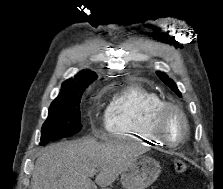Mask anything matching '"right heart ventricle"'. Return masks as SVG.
I'll list each match as a JSON object with an SVG mask.
<instances>
[{"label":"right heart ventricle","mask_w":223,"mask_h":189,"mask_svg":"<svg viewBox=\"0 0 223 189\" xmlns=\"http://www.w3.org/2000/svg\"><path fill=\"white\" fill-rule=\"evenodd\" d=\"M163 102L156 92L129 84L110 101L105 112V129L111 136H128L163 145L151 131L152 116Z\"/></svg>","instance_id":"1"}]
</instances>
